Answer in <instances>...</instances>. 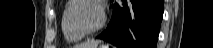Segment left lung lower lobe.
Masks as SVG:
<instances>
[{"instance_id": "1", "label": "left lung lower lobe", "mask_w": 213, "mask_h": 48, "mask_svg": "<svg viewBox=\"0 0 213 48\" xmlns=\"http://www.w3.org/2000/svg\"><path fill=\"white\" fill-rule=\"evenodd\" d=\"M163 4L164 0H122L121 5L115 3L108 27L97 38L118 48H156Z\"/></svg>"}]
</instances>
